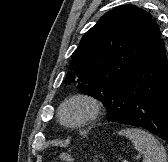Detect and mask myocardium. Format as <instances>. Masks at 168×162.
<instances>
[{
    "label": "myocardium",
    "mask_w": 168,
    "mask_h": 162,
    "mask_svg": "<svg viewBox=\"0 0 168 162\" xmlns=\"http://www.w3.org/2000/svg\"><path fill=\"white\" fill-rule=\"evenodd\" d=\"M70 109H77L79 115L76 119L70 120L67 112ZM101 102L88 94L78 93L64 99L58 107V120L61 125L69 129L81 128L98 118L101 113Z\"/></svg>",
    "instance_id": "obj_1"
}]
</instances>
